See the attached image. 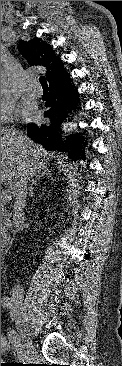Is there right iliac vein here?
I'll return each mask as SVG.
<instances>
[{
    "label": "right iliac vein",
    "instance_id": "right-iliac-vein-1",
    "mask_svg": "<svg viewBox=\"0 0 122 366\" xmlns=\"http://www.w3.org/2000/svg\"><path fill=\"white\" fill-rule=\"evenodd\" d=\"M12 317L17 322V324L19 325V327L21 329V334H22L23 338L26 341L27 350L24 351V353H25V355H30L33 348L31 346V341L29 340L28 330H27L26 325L23 323V320H22V313L19 311L18 307H13ZM22 348L24 349L25 345H23Z\"/></svg>",
    "mask_w": 122,
    "mask_h": 366
}]
</instances>
